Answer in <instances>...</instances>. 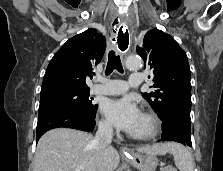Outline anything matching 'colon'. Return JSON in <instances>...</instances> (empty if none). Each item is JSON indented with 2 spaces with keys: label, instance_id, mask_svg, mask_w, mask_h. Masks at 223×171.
I'll return each instance as SVG.
<instances>
[{
  "label": "colon",
  "instance_id": "5ec220e1",
  "mask_svg": "<svg viewBox=\"0 0 223 171\" xmlns=\"http://www.w3.org/2000/svg\"><path fill=\"white\" fill-rule=\"evenodd\" d=\"M162 171H176L174 167L172 166H165Z\"/></svg>",
  "mask_w": 223,
  "mask_h": 171
}]
</instances>
